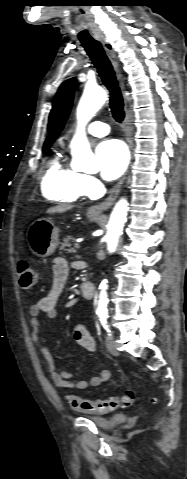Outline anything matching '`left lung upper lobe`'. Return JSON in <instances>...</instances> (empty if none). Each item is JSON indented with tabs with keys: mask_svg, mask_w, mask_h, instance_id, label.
<instances>
[{
	"mask_svg": "<svg viewBox=\"0 0 187 479\" xmlns=\"http://www.w3.org/2000/svg\"><path fill=\"white\" fill-rule=\"evenodd\" d=\"M76 83V80L75 79H69L67 81H65L59 88L56 96H55V99H54V102H53V108L50 112V115H49V123H48V129L51 130L61 111H62V108L64 106V103H65V100L70 92V90L72 89V87L75 85Z\"/></svg>",
	"mask_w": 187,
	"mask_h": 479,
	"instance_id": "1",
	"label": "left lung upper lobe"
}]
</instances>
